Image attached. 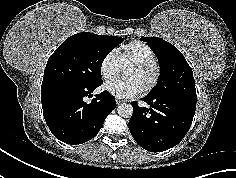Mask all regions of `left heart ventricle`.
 Listing matches in <instances>:
<instances>
[{
	"label": "left heart ventricle",
	"mask_w": 236,
	"mask_h": 178,
	"mask_svg": "<svg viewBox=\"0 0 236 178\" xmlns=\"http://www.w3.org/2000/svg\"><path fill=\"white\" fill-rule=\"evenodd\" d=\"M124 77L137 81L139 85L144 88L150 82L152 72L138 68H127L124 71Z\"/></svg>",
	"instance_id": "obj_1"
}]
</instances>
